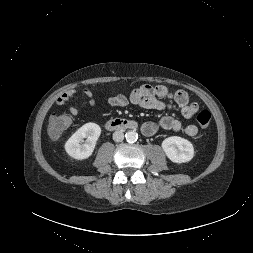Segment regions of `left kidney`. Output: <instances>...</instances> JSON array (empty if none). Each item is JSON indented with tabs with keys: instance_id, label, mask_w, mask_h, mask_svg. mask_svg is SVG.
<instances>
[{
	"instance_id": "5707ae66",
	"label": "left kidney",
	"mask_w": 253,
	"mask_h": 253,
	"mask_svg": "<svg viewBox=\"0 0 253 253\" xmlns=\"http://www.w3.org/2000/svg\"><path fill=\"white\" fill-rule=\"evenodd\" d=\"M162 148L174 163H185L194 157L193 144L187 139L171 136L163 140Z\"/></svg>"
}]
</instances>
